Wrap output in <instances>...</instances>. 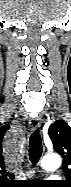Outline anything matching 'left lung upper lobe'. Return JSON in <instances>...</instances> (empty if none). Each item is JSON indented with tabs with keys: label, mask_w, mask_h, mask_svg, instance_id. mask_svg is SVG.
I'll use <instances>...</instances> for the list:
<instances>
[{
	"label": "left lung upper lobe",
	"mask_w": 71,
	"mask_h": 187,
	"mask_svg": "<svg viewBox=\"0 0 71 187\" xmlns=\"http://www.w3.org/2000/svg\"><path fill=\"white\" fill-rule=\"evenodd\" d=\"M48 134L54 150L63 157L65 176L71 178V127L65 121L58 120L50 125Z\"/></svg>",
	"instance_id": "left-lung-upper-lobe-1"
}]
</instances>
